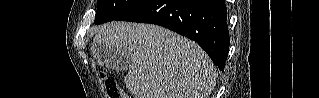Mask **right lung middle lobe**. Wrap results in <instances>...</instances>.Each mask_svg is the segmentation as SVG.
<instances>
[{
    "mask_svg": "<svg viewBox=\"0 0 319 98\" xmlns=\"http://www.w3.org/2000/svg\"><path fill=\"white\" fill-rule=\"evenodd\" d=\"M146 0H97L95 23L115 20L134 10Z\"/></svg>",
    "mask_w": 319,
    "mask_h": 98,
    "instance_id": "dd1d6c3e",
    "label": "right lung middle lobe"
}]
</instances>
